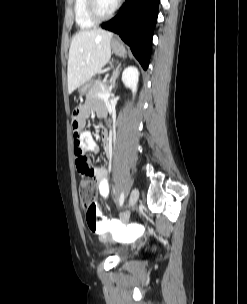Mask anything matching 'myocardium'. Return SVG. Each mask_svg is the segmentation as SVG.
Wrapping results in <instances>:
<instances>
[{
  "label": "myocardium",
  "mask_w": 247,
  "mask_h": 304,
  "mask_svg": "<svg viewBox=\"0 0 247 304\" xmlns=\"http://www.w3.org/2000/svg\"><path fill=\"white\" fill-rule=\"evenodd\" d=\"M121 0H118L113 10L108 14H102L98 8V0H87L86 10L88 17L95 23L111 19L118 11Z\"/></svg>",
  "instance_id": "1"
}]
</instances>
